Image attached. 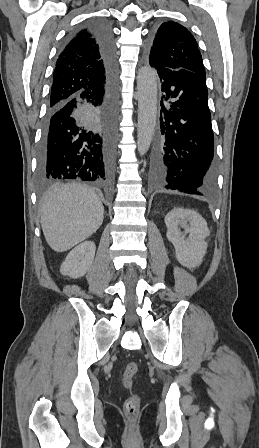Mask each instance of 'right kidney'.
<instances>
[{
	"mask_svg": "<svg viewBox=\"0 0 259 448\" xmlns=\"http://www.w3.org/2000/svg\"><path fill=\"white\" fill-rule=\"evenodd\" d=\"M95 250L94 242H82L76 246L60 268L62 276H70V278L85 276L94 262Z\"/></svg>",
	"mask_w": 259,
	"mask_h": 448,
	"instance_id": "ca27d5eb",
	"label": "right kidney"
}]
</instances>
